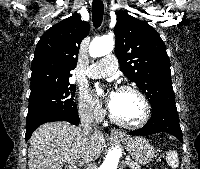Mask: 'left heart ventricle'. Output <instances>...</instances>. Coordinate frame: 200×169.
I'll use <instances>...</instances> for the list:
<instances>
[{
	"mask_svg": "<svg viewBox=\"0 0 200 169\" xmlns=\"http://www.w3.org/2000/svg\"><path fill=\"white\" fill-rule=\"evenodd\" d=\"M111 111L121 121L137 123L144 115V106L134 92L117 91Z\"/></svg>",
	"mask_w": 200,
	"mask_h": 169,
	"instance_id": "b2bd125f",
	"label": "left heart ventricle"
}]
</instances>
